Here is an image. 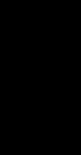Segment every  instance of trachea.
Masks as SVG:
<instances>
[{"label":"trachea","instance_id":"obj_1","mask_svg":"<svg viewBox=\"0 0 81 155\" xmlns=\"http://www.w3.org/2000/svg\"><path fill=\"white\" fill-rule=\"evenodd\" d=\"M38 85H39L38 83H35L34 87L35 88H38L39 87Z\"/></svg>","mask_w":81,"mask_h":155}]
</instances>
